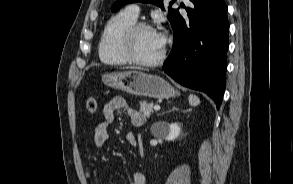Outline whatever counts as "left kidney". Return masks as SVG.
I'll use <instances>...</instances> for the list:
<instances>
[{
	"label": "left kidney",
	"mask_w": 293,
	"mask_h": 184,
	"mask_svg": "<svg viewBox=\"0 0 293 184\" xmlns=\"http://www.w3.org/2000/svg\"><path fill=\"white\" fill-rule=\"evenodd\" d=\"M180 133H181V124L171 123L165 126L162 137L167 141H174L175 139L179 137Z\"/></svg>",
	"instance_id": "left-kidney-1"
}]
</instances>
